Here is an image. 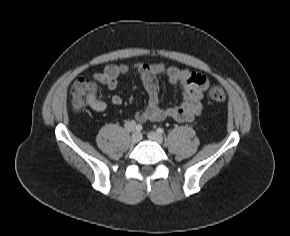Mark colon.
<instances>
[{
    "mask_svg": "<svg viewBox=\"0 0 290 236\" xmlns=\"http://www.w3.org/2000/svg\"><path fill=\"white\" fill-rule=\"evenodd\" d=\"M97 91V86L90 80L79 79L74 82L70 87L73 109L84 110L96 99ZM207 94L213 102H223L226 99V93L220 85L211 86Z\"/></svg>",
    "mask_w": 290,
    "mask_h": 236,
    "instance_id": "5ec220e1",
    "label": "colon"
}]
</instances>
